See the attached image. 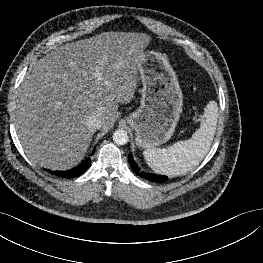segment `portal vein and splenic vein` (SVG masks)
Listing matches in <instances>:
<instances>
[{"mask_svg":"<svg viewBox=\"0 0 263 263\" xmlns=\"http://www.w3.org/2000/svg\"><path fill=\"white\" fill-rule=\"evenodd\" d=\"M97 79H98V80H101V75H100V73H97Z\"/></svg>","mask_w":263,"mask_h":263,"instance_id":"18ae733b","label":"portal vein and splenic vein"}]
</instances>
